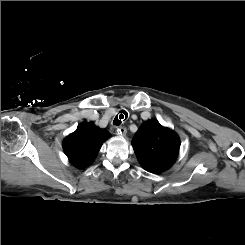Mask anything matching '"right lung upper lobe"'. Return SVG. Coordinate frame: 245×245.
I'll return each mask as SVG.
<instances>
[{"instance_id": "right-lung-upper-lobe-1", "label": "right lung upper lobe", "mask_w": 245, "mask_h": 245, "mask_svg": "<svg viewBox=\"0 0 245 245\" xmlns=\"http://www.w3.org/2000/svg\"><path fill=\"white\" fill-rule=\"evenodd\" d=\"M109 133L93 123H81L75 132L63 141V149L70 162L77 168L89 166L97 156Z\"/></svg>"}]
</instances>
